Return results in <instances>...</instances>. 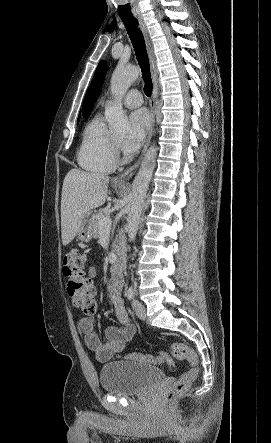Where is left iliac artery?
<instances>
[{
  "mask_svg": "<svg viewBox=\"0 0 271 443\" xmlns=\"http://www.w3.org/2000/svg\"><path fill=\"white\" fill-rule=\"evenodd\" d=\"M126 296L129 300L133 299L135 296V289L131 286L128 288L127 292H126Z\"/></svg>",
  "mask_w": 271,
  "mask_h": 443,
  "instance_id": "1",
  "label": "left iliac artery"
}]
</instances>
